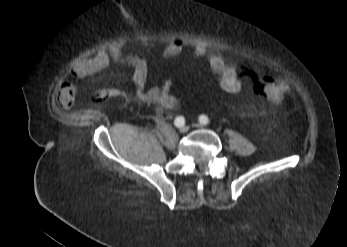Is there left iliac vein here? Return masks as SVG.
<instances>
[{"label": "left iliac vein", "mask_w": 347, "mask_h": 247, "mask_svg": "<svg viewBox=\"0 0 347 247\" xmlns=\"http://www.w3.org/2000/svg\"><path fill=\"white\" fill-rule=\"evenodd\" d=\"M195 126L198 127V128H203V125L200 124V123L195 124Z\"/></svg>", "instance_id": "obj_1"}]
</instances>
